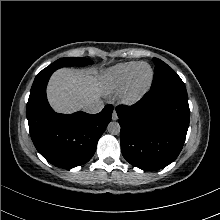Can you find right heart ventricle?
Masks as SVG:
<instances>
[{
	"label": "right heart ventricle",
	"instance_id": "1",
	"mask_svg": "<svg viewBox=\"0 0 220 220\" xmlns=\"http://www.w3.org/2000/svg\"><path fill=\"white\" fill-rule=\"evenodd\" d=\"M138 64L136 62H126L107 70L103 76L105 90L111 93L124 89Z\"/></svg>",
	"mask_w": 220,
	"mask_h": 220
}]
</instances>
